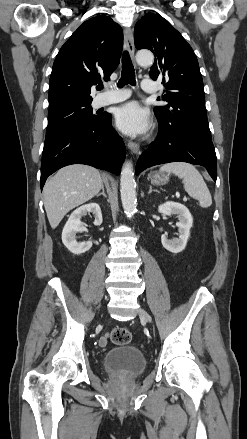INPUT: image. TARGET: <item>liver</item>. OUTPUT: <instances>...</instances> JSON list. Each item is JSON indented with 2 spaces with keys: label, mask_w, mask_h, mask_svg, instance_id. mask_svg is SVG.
I'll return each instance as SVG.
<instances>
[{
  "label": "liver",
  "mask_w": 247,
  "mask_h": 439,
  "mask_svg": "<svg viewBox=\"0 0 247 439\" xmlns=\"http://www.w3.org/2000/svg\"><path fill=\"white\" fill-rule=\"evenodd\" d=\"M101 175L94 167L73 164L51 177L43 189L44 207L53 229L73 208L84 204L102 189Z\"/></svg>",
  "instance_id": "obj_1"
}]
</instances>
